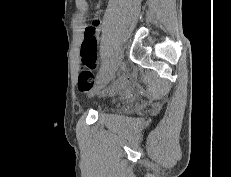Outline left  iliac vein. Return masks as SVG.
I'll list each match as a JSON object with an SVG mask.
<instances>
[{"instance_id":"obj_1","label":"left iliac vein","mask_w":231,"mask_h":177,"mask_svg":"<svg viewBox=\"0 0 231 177\" xmlns=\"http://www.w3.org/2000/svg\"><path fill=\"white\" fill-rule=\"evenodd\" d=\"M122 58H123V49L119 48L113 57L110 67H108V71H105L99 78L97 89L105 86L114 77L116 71L118 70L121 64ZM91 95H93V93Z\"/></svg>"}]
</instances>
